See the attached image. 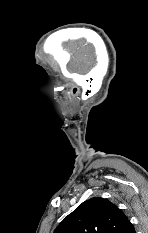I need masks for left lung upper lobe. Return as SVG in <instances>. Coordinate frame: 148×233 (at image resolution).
Masks as SVG:
<instances>
[{
    "label": "left lung upper lobe",
    "mask_w": 148,
    "mask_h": 233,
    "mask_svg": "<svg viewBox=\"0 0 148 233\" xmlns=\"http://www.w3.org/2000/svg\"><path fill=\"white\" fill-rule=\"evenodd\" d=\"M133 225L112 202L94 197L81 203L54 233H129Z\"/></svg>",
    "instance_id": "5c2ea615"
}]
</instances>
